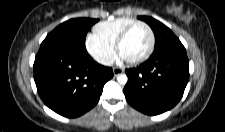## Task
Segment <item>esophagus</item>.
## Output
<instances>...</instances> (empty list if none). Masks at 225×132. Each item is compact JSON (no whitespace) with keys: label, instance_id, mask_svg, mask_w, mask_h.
<instances>
[{"label":"esophagus","instance_id":"esophagus-1","mask_svg":"<svg viewBox=\"0 0 225 132\" xmlns=\"http://www.w3.org/2000/svg\"><path fill=\"white\" fill-rule=\"evenodd\" d=\"M122 72H123V69H121V68H117V67L113 68L114 76H117L118 74H120Z\"/></svg>","mask_w":225,"mask_h":132}]
</instances>
